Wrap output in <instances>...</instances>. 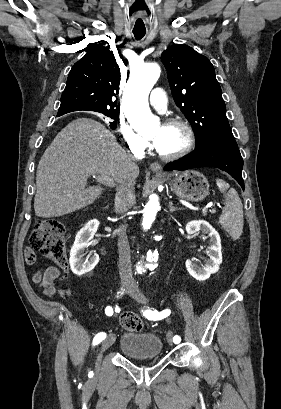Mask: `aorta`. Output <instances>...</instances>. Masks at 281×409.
<instances>
[{
  "label": "aorta",
  "mask_w": 281,
  "mask_h": 409,
  "mask_svg": "<svg viewBox=\"0 0 281 409\" xmlns=\"http://www.w3.org/2000/svg\"><path fill=\"white\" fill-rule=\"evenodd\" d=\"M161 73L156 63L143 64L135 68L127 84L125 111L132 127L138 132L151 131L159 125V120L149 108L148 96ZM157 195H151L143 211V228H150L159 210Z\"/></svg>",
  "instance_id": "762f6f07"
}]
</instances>
